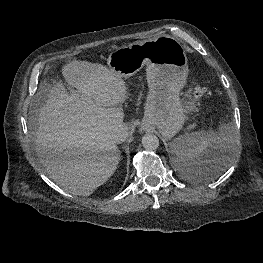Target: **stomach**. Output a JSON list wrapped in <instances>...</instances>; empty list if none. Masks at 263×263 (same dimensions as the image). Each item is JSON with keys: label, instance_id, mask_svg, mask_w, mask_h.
Returning a JSON list of instances; mask_svg holds the SVG:
<instances>
[{"label": "stomach", "instance_id": "1", "mask_svg": "<svg viewBox=\"0 0 263 263\" xmlns=\"http://www.w3.org/2000/svg\"><path fill=\"white\" fill-rule=\"evenodd\" d=\"M107 64L122 78H129L146 65L149 87L144 126L156 127L167 139L185 122V107L180 93L188 76L187 57L182 44L164 35L134 42L111 52Z\"/></svg>", "mask_w": 263, "mask_h": 263}]
</instances>
